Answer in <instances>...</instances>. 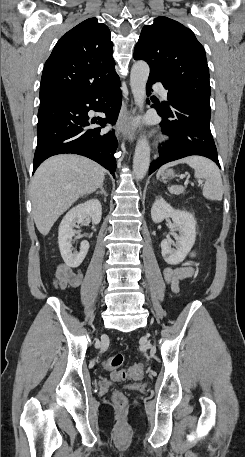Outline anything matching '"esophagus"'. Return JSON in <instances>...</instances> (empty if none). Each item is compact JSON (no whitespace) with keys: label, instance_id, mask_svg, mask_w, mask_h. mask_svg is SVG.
<instances>
[{"label":"esophagus","instance_id":"obj_1","mask_svg":"<svg viewBox=\"0 0 245 457\" xmlns=\"http://www.w3.org/2000/svg\"><path fill=\"white\" fill-rule=\"evenodd\" d=\"M134 112L135 109L129 110L126 104L123 102L116 124L117 135H124L129 142H133L135 139L134 125L131 120V114Z\"/></svg>","mask_w":245,"mask_h":457}]
</instances>
